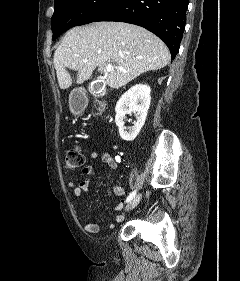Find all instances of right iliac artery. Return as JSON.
Here are the masks:
<instances>
[{
  "instance_id": "82829eb1",
  "label": "right iliac artery",
  "mask_w": 240,
  "mask_h": 281,
  "mask_svg": "<svg viewBox=\"0 0 240 281\" xmlns=\"http://www.w3.org/2000/svg\"><path fill=\"white\" fill-rule=\"evenodd\" d=\"M135 195H136V190L129 194V196L126 199V202H130L135 197Z\"/></svg>"
}]
</instances>
